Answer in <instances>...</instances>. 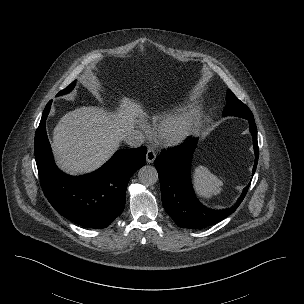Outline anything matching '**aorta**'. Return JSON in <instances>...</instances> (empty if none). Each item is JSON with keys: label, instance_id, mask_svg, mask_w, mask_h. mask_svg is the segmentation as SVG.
I'll return each mask as SVG.
<instances>
[{"label": "aorta", "instance_id": "762f6f07", "mask_svg": "<svg viewBox=\"0 0 304 304\" xmlns=\"http://www.w3.org/2000/svg\"><path fill=\"white\" fill-rule=\"evenodd\" d=\"M138 179L145 186L154 185L158 181V172L155 167L145 165L139 169Z\"/></svg>", "mask_w": 304, "mask_h": 304}]
</instances>
